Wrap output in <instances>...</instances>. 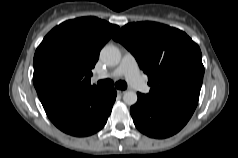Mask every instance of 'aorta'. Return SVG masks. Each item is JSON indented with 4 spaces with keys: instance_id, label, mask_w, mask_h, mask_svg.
<instances>
[{
    "instance_id": "762f6f07",
    "label": "aorta",
    "mask_w": 238,
    "mask_h": 158,
    "mask_svg": "<svg viewBox=\"0 0 238 158\" xmlns=\"http://www.w3.org/2000/svg\"><path fill=\"white\" fill-rule=\"evenodd\" d=\"M101 60L110 66H116L121 61V52L114 45H106L100 52ZM137 93L133 90H128L123 95V101L127 105H134L137 102Z\"/></svg>"
}]
</instances>
